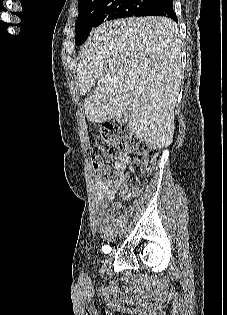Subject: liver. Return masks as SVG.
<instances>
[{"mask_svg": "<svg viewBox=\"0 0 227 315\" xmlns=\"http://www.w3.org/2000/svg\"><path fill=\"white\" fill-rule=\"evenodd\" d=\"M181 38L166 17L103 23L79 52L77 78L90 122L125 113L129 128L146 144L169 146L182 81ZM94 88V89H92Z\"/></svg>", "mask_w": 227, "mask_h": 315, "instance_id": "1", "label": "liver"}]
</instances>
